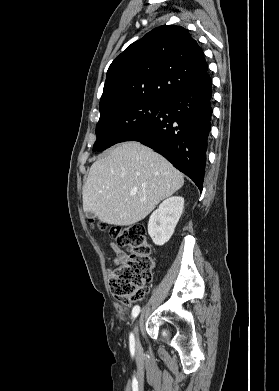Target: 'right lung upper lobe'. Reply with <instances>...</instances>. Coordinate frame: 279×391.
Segmentation results:
<instances>
[{
	"label": "right lung upper lobe",
	"mask_w": 279,
	"mask_h": 391,
	"mask_svg": "<svg viewBox=\"0 0 279 391\" xmlns=\"http://www.w3.org/2000/svg\"><path fill=\"white\" fill-rule=\"evenodd\" d=\"M204 54L180 26H160L132 43L110 65L100 113L136 101L165 102L201 79Z\"/></svg>",
	"instance_id": "cb5924a9"
}]
</instances>
